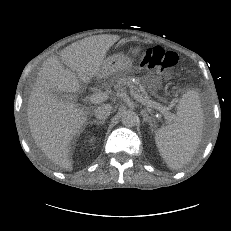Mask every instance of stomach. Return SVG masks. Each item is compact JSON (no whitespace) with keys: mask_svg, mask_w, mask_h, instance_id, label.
Wrapping results in <instances>:
<instances>
[{"mask_svg":"<svg viewBox=\"0 0 231 231\" xmlns=\"http://www.w3.org/2000/svg\"><path fill=\"white\" fill-rule=\"evenodd\" d=\"M140 50V47H132L129 54L118 53L107 57L101 67L99 77H118L129 73L133 68L134 57L139 54ZM141 81L152 93L161 83L160 77L155 75H147Z\"/></svg>","mask_w":231,"mask_h":231,"instance_id":"1","label":"stomach"}]
</instances>
